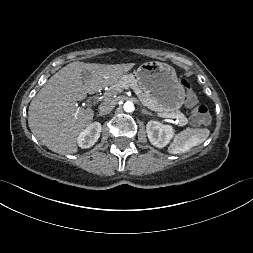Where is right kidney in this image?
<instances>
[{
    "label": "right kidney",
    "instance_id": "1",
    "mask_svg": "<svg viewBox=\"0 0 253 253\" xmlns=\"http://www.w3.org/2000/svg\"><path fill=\"white\" fill-rule=\"evenodd\" d=\"M101 133V124L94 122L84 129L77 138V143L81 148H90L93 146Z\"/></svg>",
    "mask_w": 253,
    "mask_h": 253
}]
</instances>
